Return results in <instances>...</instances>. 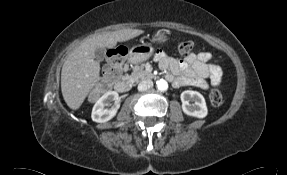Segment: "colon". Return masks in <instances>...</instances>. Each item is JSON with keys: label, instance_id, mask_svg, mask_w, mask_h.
Here are the masks:
<instances>
[{"label": "colon", "instance_id": "obj_1", "mask_svg": "<svg viewBox=\"0 0 287 175\" xmlns=\"http://www.w3.org/2000/svg\"><path fill=\"white\" fill-rule=\"evenodd\" d=\"M193 50V43L190 41L181 42L178 45V51L181 54H189ZM127 51L124 47L116 48L111 51V56L117 59H121L126 55ZM119 78L118 71L114 70L112 73L111 81L114 82ZM209 99L213 105H219L222 102V94L217 88H212L209 92Z\"/></svg>", "mask_w": 287, "mask_h": 175}]
</instances>
